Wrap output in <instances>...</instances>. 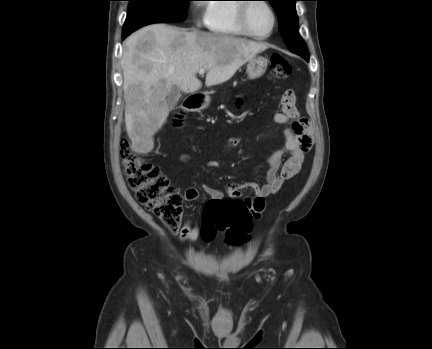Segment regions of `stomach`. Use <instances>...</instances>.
Masks as SVG:
<instances>
[{
  "instance_id": "obj_1",
  "label": "stomach",
  "mask_w": 432,
  "mask_h": 349,
  "mask_svg": "<svg viewBox=\"0 0 432 349\" xmlns=\"http://www.w3.org/2000/svg\"><path fill=\"white\" fill-rule=\"evenodd\" d=\"M268 65V59L263 56H255L254 58L250 59L247 64L246 72L248 74V77L250 79H256L261 77ZM210 103V98L206 97L203 101V104L201 106L202 109L206 108Z\"/></svg>"
}]
</instances>
